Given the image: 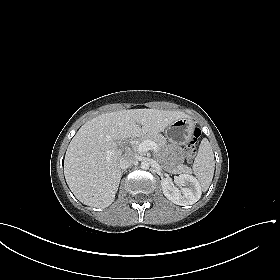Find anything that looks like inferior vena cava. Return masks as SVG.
<instances>
[{
  "label": "inferior vena cava",
  "instance_id": "602c4592",
  "mask_svg": "<svg viewBox=\"0 0 280 280\" xmlns=\"http://www.w3.org/2000/svg\"><path fill=\"white\" fill-rule=\"evenodd\" d=\"M135 162L136 157L133 154H124L119 161V166L122 170H125L135 164Z\"/></svg>",
  "mask_w": 280,
  "mask_h": 280
}]
</instances>
